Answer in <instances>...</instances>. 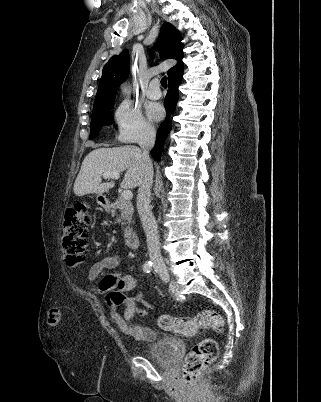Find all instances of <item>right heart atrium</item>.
Instances as JSON below:
<instances>
[{"label":"right heart atrium","mask_w":321,"mask_h":402,"mask_svg":"<svg viewBox=\"0 0 321 402\" xmlns=\"http://www.w3.org/2000/svg\"><path fill=\"white\" fill-rule=\"evenodd\" d=\"M117 138L124 143H141L152 139L154 128L141 110L128 100L118 104L113 111Z\"/></svg>","instance_id":"d8ad5b80"}]
</instances>
